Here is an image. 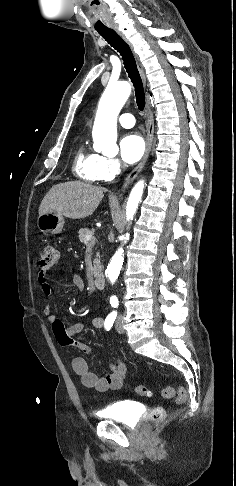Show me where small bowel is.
Returning a JSON list of instances; mask_svg holds the SVG:
<instances>
[{
	"label": "small bowel",
	"instance_id": "c3829d8e",
	"mask_svg": "<svg viewBox=\"0 0 236 486\" xmlns=\"http://www.w3.org/2000/svg\"><path fill=\"white\" fill-rule=\"evenodd\" d=\"M38 282L44 296L50 297L52 295V287L45 272H40ZM73 283L78 289H85L83 279L77 274L73 275ZM43 311L49 319L56 339L62 346L72 345L79 348L84 353H91L89 346L75 340V336L84 330L83 323L76 322L66 327L61 319L52 312L50 304H46ZM104 323L105 321L101 317H96L92 320V326L95 329L102 328ZM72 368L80 377L81 382L85 387L95 389L98 392L120 389L123 386L126 375V365L120 359H115L110 363L109 371L104 376H98L96 373L90 371L89 365L83 357H75L72 360Z\"/></svg>",
	"mask_w": 236,
	"mask_h": 486
}]
</instances>
